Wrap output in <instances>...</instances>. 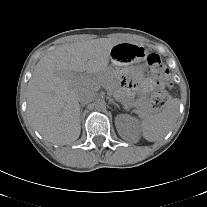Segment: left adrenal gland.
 <instances>
[{"label":"left adrenal gland","instance_id":"a2214340","mask_svg":"<svg viewBox=\"0 0 207 207\" xmlns=\"http://www.w3.org/2000/svg\"><path fill=\"white\" fill-rule=\"evenodd\" d=\"M111 103H112L113 105H115L117 108H120V106H119L116 102H114L113 100H111Z\"/></svg>","mask_w":207,"mask_h":207}]
</instances>
